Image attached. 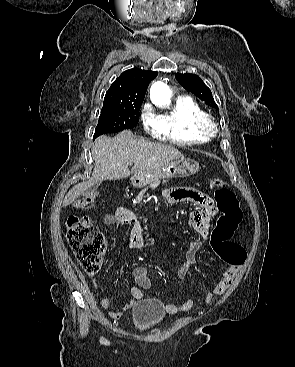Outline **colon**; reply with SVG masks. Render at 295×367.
<instances>
[{
    "mask_svg": "<svg viewBox=\"0 0 295 367\" xmlns=\"http://www.w3.org/2000/svg\"><path fill=\"white\" fill-rule=\"evenodd\" d=\"M221 216L212 236L214 248L221 258L230 265H241L246 258L245 250L231 241L241 220L242 211L234 192L225 182L216 178L210 182ZM95 194H86L75 203L80 210H89L95 206ZM67 239L80 266L89 273L98 270L105 243L101 233L94 229L91 217L71 215L67 219Z\"/></svg>",
    "mask_w": 295,
    "mask_h": 367,
    "instance_id": "obj_1",
    "label": "colon"
}]
</instances>
